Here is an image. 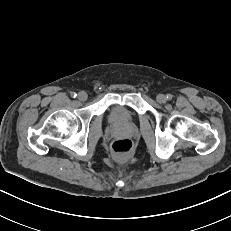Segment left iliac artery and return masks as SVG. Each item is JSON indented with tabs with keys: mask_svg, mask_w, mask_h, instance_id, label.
<instances>
[{
	"mask_svg": "<svg viewBox=\"0 0 231 231\" xmlns=\"http://www.w3.org/2000/svg\"><path fill=\"white\" fill-rule=\"evenodd\" d=\"M166 98H167L168 100H171V99H172V95H171V94H167V95H166Z\"/></svg>",
	"mask_w": 231,
	"mask_h": 231,
	"instance_id": "44dca946",
	"label": "left iliac artery"
}]
</instances>
